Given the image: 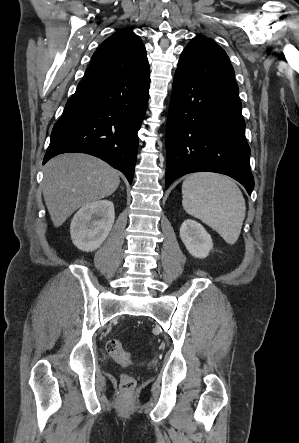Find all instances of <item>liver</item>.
I'll return each mask as SVG.
<instances>
[{
	"label": "liver",
	"mask_w": 299,
	"mask_h": 443,
	"mask_svg": "<svg viewBox=\"0 0 299 443\" xmlns=\"http://www.w3.org/2000/svg\"><path fill=\"white\" fill-rule=\"evenodd\" d=\"M120 184L119 173L87 154L66 153L44 166L43 196L55 227L77 209L110 196Z\"/></svg>",
	"instance_id": "6515ba94"
}]
</instances>
